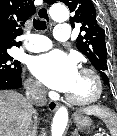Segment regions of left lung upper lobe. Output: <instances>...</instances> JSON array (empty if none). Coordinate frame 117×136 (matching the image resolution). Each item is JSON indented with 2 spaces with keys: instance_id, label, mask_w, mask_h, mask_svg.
Returning a JSON list of instances; mask_svg holds the SVG:
<instances>
[{
  "instance_id": "5c2ea615",
  "label": "left lung upper lobe",
  "mask_w": 117,
  "mask_h": 136,
  "mask_svg": "<svg viewBox=\"0 0 117 136\" xmlns=\"http://www.w3.org/2000/svg\"><path fill=\"white\" fill-rule=\"evenodd\" d=\"M69 6L74 16L70 17L72 27L80 26V34L77 38V49L90 60L91 64L101 74L104 82L109 84L106 75L107 49L105 44V32L98 25L96 10L91 0H61ZM48 4L55 1L46 0ZM82 32V34H81Z\"/></svg>"
}]
</instances>
